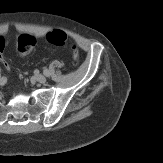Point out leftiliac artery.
I'll return each instance as SVG.
<instances>
[{"label":"left iliac artery","mask_w":163,"mask_h":163,"mask_svg":"<svg viewBox=\"0 0 163 163\" xmlns=\"http://www.w3.org/2000/svg\"><path fill=\"white\" fill-rule=\"evenodd\" d=\"M43 73H44L45 76H49L50 75V72L48 70H44Z\"/></svg>","instance_id":"obj_1"}]
</instances>
